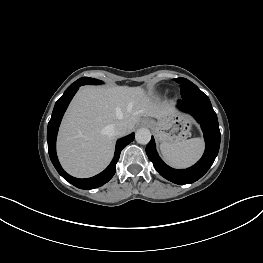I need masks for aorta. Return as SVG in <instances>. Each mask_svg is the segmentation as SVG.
I'll return each instance as SVG.
<instances>
[{"label": "aorta", "mask_w": 263, "mask_h": 263, "mask_svg": "<svg viewBox=\"0 0 263 263\" xmlns=\"http://www.w3.org/2000/svg\"><path fill=\"white\" fill-rule=\"evenodd\" d=\"M151 139V133L147 128H140L136 131L135 140L139 144H147Z\"/></svg>", "instance_id": "1"}]
</instances>
